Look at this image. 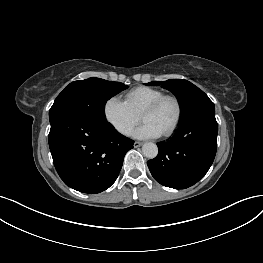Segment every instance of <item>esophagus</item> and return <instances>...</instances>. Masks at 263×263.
I'll use <instances>...</instances> for the list:
<instances>
[{"label": "esophagus", "mask_w": 263, "mask_h": 263, "mask_svg": "<svg viewBox=\"0 0 263 263\" xmlns=\"http://www.w3.org/2000/svg\"><path fill=\"white\" fill-rule=\"evenodd\" d=\"M142 145V142H139V141H135L134 142V147L137 148V147H140Z\"/></svg>", "instance_id": "1"}]
</instances>
